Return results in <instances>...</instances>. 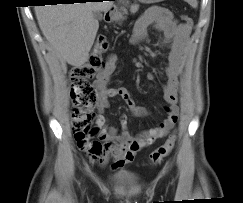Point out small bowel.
Returning a JSON list of instances; mask_svg holds the SVG:
<instances>
[{"label": "small bowel", "mask_w": 243, "mask_h": 203, "mask_svg": "<svg viewBox=\"0 0 243 203\" xmlns=\"http://www.w3.org/2000/svg\"><path fill=\"white\" fill-rule=\"evenodd\" d=\"M151 25H155L164 34V45L169 48L165 68L166 83L163 87V98L167 103L165 107L166 118L161 123L136 137L126 130L128 117L125 114L119 117L123 129L120 133L114 127H106L105 117L102 113L110 107V98L120 97L134 116L143 117L147 112L144 107L135 103L126 88L108 87L111 76L116 70L118 58L115 54L108 56L105 68L98 73L95 80V87L98 92L97 109L100 113L97 118V125L93 128L90 136V138L95 139H89L87 145H78V147L99 164L111 163L113 170H119L132 163L140 150L150 146L156 139L163 137L178 121V77L188 49L190 30L186 24L179 23L166 8L153 6L135 23L131 42L140 44L145 39L147 29ZM148 79L153 80L154 76L149 74Z\"/></svg>", "instance_id": "obj_1"}]
</instances>
